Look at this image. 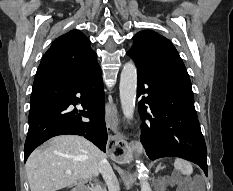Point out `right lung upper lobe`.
Listing matches in <instances>:
<instances>
[{"instance_id": "obj_1", "label": "right lung upper lobe", "mask_w": 233, "mask_h": 191, "mask_svg": "<svg viewBox=\"0 0 233 191\" xmlns=\"http://www.w3.org/2000/svg\"><path fill=\"white\" fill-rule=\"evenodd\" d=\"M97 63V55L90 47L88 38L78 30H72L57 38L44 55L35 81L56 79H77L91 70Z\"/></svg>"}]
</instances>
